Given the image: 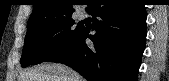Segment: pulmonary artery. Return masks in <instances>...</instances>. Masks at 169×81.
<instances>
[{
  "mask_svg": "<svg viewBox=\"0 0 169 81\" xmlns=\"http://www.w3.org/2000/svg\"><path fill=\"white\" fill-rule=\"evenodd\" d=\"M80 19H85L86 18V13L85 12H81L79 15Z\"/></svg>",
  "mask_w": 169,
  "mask_h": 81,
  "instance_id": "obj_1",
  "label": "pulmonary artery"
}]
</instances>
